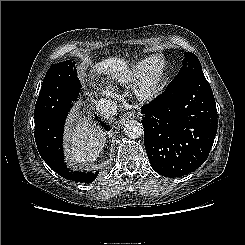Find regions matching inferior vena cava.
I'll use <instances>...</instances> for the list:
<instances>
[{
	"label": "inferior vena cava",
	"instance_id": "inferior-vena-cava-1",
	"mask_svg": "<svg viewBox=\"0 0 245 245\" xmlns=\"http://www.w3.org/2000/svg\"><path fill=\"white\" fill-rule=\"evenodd\" d=\"M96 110L107 119L113 120L117 112V106L111 100L100 99L96 104Z\"/></svg>",
	"mask_w": 245,
	"mask_h": 245
}]
</instances>
